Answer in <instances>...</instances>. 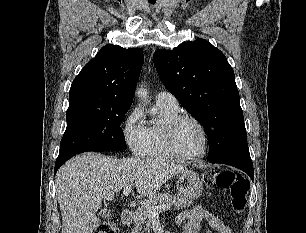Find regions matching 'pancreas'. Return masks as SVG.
<instances>
[{
	"mask_svg": "<svg viewBox=\"0 0 306 233\" xmlns=\"http://www.w3.org/2000/svg\"><path fill=\"white\" fill-rule=\"evenodd\" d=\"M162 204H172L175 209H180L190 206L193 204V201L168 192L153 195L134 212V229L132 233H149L152 215L147 212V206Z\"/></svg>",
	"mask_w": 306,
	"mask_h": 233,
	"instance_id": "cf45deb5",
	"label": "pancreas"
}]
</instances>
